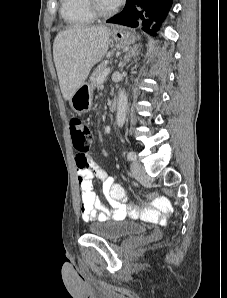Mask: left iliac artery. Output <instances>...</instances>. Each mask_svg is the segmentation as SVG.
<instances>
[{
  "mask_svg": "<svg viewBox=\"0 0 227 298\" xmlns=\"http://www.w3.org/2000/svg\"><path fill=\"white\" fill-rule=\"evenodd\" d=\"M127 159L131 160V161L135 160L136 159V154L134 152H129L127 154Z\"/></svg>",
  "mask_w": 227,
  "mask_h": 298,
  "instance_id": "1",
  "label": "left iliac artery"
}]
</instances>
